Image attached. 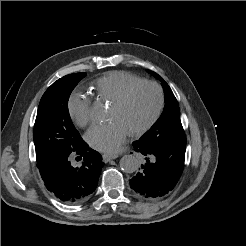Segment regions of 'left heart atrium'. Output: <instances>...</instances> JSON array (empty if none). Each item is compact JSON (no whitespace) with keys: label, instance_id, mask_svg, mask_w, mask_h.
Masks as SVG:
<instances>
[{"label":"left heart atrium","instance_id":"39dd6f15","mask_svg":"<svg viewBox=\"0 0 246 246\" xmlns=\"http://www.w3.org/2000/svg\"><path fill=\"white\" fill-rule=\"evenodd\" d=\"M130 131L118 119L93 125L86 133V140L94 149L114 153L125 141Z\"/></svg>","mask_w":246,"mask_h":246}]
</instances>
